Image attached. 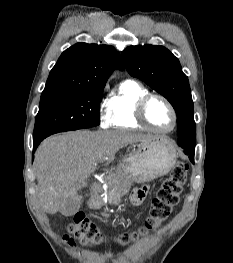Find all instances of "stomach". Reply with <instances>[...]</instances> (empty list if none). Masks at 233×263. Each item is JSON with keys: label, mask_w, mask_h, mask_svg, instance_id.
<instances>
[{"label": "stomach", "mask_w": 233, "mask_h": 263, "mask_svg": "<svg viewBox=\"0 0 233 263\" xmlns=\"http://www.w3.org/2000/svg\"><path fill=\"white\" fill-rule=\"evenodd\" d=\"M176 158V149L168 138L152 136L141 141L116 170L120 177L118 190L123 195L133 182L145 183L167 174L175 165ZM98 205L93 203V206Z\"/></svg>", "instance_id": "1"}]
</instances>
